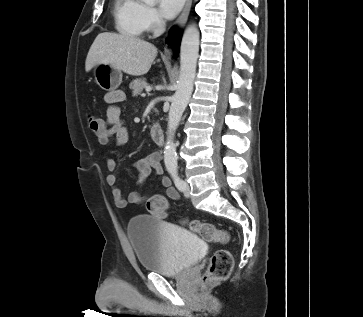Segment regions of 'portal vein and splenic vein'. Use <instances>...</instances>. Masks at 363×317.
<instances>
[{
  "label": "portal vein and splenic vein",
  "mask_w": 363,
  "mask_h": 317,
  "mask_svg": "<svg viewBox=\"0 0 363 317\" xmlns=\"http://www.w3.org/2000/svg\"><path fill=\"white\" fill-rule=\"evenodd\" d=\"M152 90V88L150 86L146 87V92H150Z\"/></svg>",
  "instance_id": "1"
}]
</instances>
